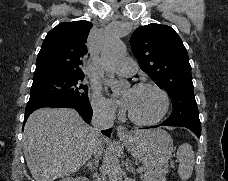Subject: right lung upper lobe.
<instances>
[{"instance_id":"cb5924a9","label":"right lung upper lobe","mask_w":228,"mask_h":181,"mask_svg":"<svg viewBox=\"0 0 228 181\" xmlns=\"http://www.w3.org/2000/svg\"><path fill=\"white\" fill-rule=\"evenodd\" d=\"M88 21L62 22L48 32L36 61L33 78L54 75H81L87 58Z\"/></svg>"}]
</instances>
